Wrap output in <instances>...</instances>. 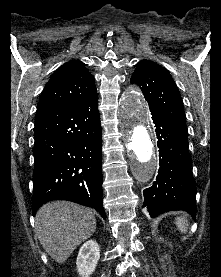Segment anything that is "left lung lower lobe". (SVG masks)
Listing matches in <instances>:
<instances>
[{
	"instance_id": "0a47b994",
	"label": "left lung lower lobe",
	"mask_w": 221,
	"mask_h": 277,
	"mask_svg": "<svg viewBox=\"0 0 221 277\" xmlns=\"http://www.w3.org/2000/svg\"><path fill=\"white\" fill-rule=\"evenodd\" d=\"M158 138V175L153 185L143 191L144 206L151 217L172 210L187 211L196 218V186L191 172L187 136L157 111L150 109Z\"/></svg>"
}]
</instances>
